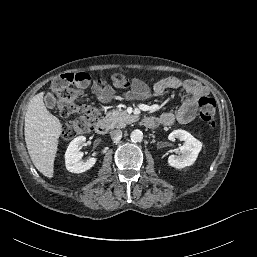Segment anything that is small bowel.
<instances>
[{"instance_id":"1","label":"small bowel","mask_w":257,"mask_h":257,"mask_svg":"<svg viewBox=\"0 0 257 257\" xmlns=\"http://www.w3.org/2000/svg\"><path fill=\"white\" fill-rule=\"evenodd\" d=\"M168 89H180L185 94V99L181 106L174 112H164L157 117L159 124L171 126L175 123L187 124L196 115L199 99L208 93L205 86L195 80H181L177 77H166L156 82L152 90L141 80L133 79L130 89L123 94L125 99H144L151 94L162 95ZM94 93L97 99L103 103L110 102L115 97V91L111 86L94 84Z\"/></svg>"}]
</instances>
